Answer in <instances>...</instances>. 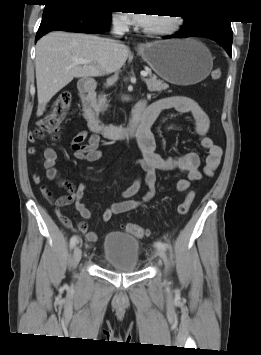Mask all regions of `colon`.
Masks as SVG:
<instances>
[{"label": "colon", "mask_w": 261, "mask_h": 355, "mask_svg": "<svg viewBox=\"0 0 261 355\" xmlns=\"http://www.w3.org/2000/svg\"><path fill=\"white\" fill-rule=\"evenodd\" d=\"M222 77V71L220 69H215L211 73V78L213 80H219ZM72 95L68 90L62 91L57 99L54 101L52 110L49 114L43 117L38 123L33 132L34 136L39 138L45 135L51 136L54 139H57L59 134L60 125L66 120L71 106ZM49 197V192H45ZM194 192H189L184 200L179 204L177 212L180 215H186L194 201ZM124 229L129 234L143 238L148 236V231L141 225L127 223L124 225Z\"/></svg>", "instance_id": "1"}]
</instances>
